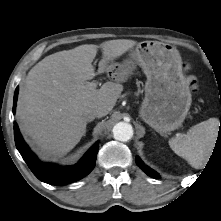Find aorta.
Segmentation results:
<instances>
[{"label": "aorta", "instance_id": "aorta-1", "mask_svg": "<svg viewBox=\"0 0 221 221\" xmlns=\"http://www.w3.org/2000/svg\"><path fill=\"white\" fill-rule=\"evenodd\" d=\"M113 136L116 140L126 142L133 136L132 125L126 122H119L113 127Z\"/></svg>", "mask_w": 221, "mask_h": 221}]
</instances>
